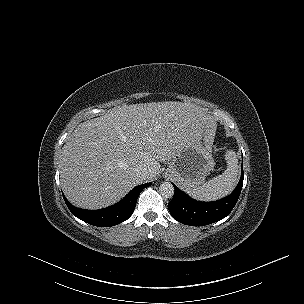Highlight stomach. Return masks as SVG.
<instances>
[{
	"label": "stomach",
	"instance_id": "0dacf381",
	"mask_svg": "<svg viewBox=\"0 0 304 304\" xmlns=\"http://www.w3.org/2000/svg\"><path fill=\"white\" fill-rule=\"evenodd\" d=\"M215 165L210 143H206L202 132L194 136L171 161L166 176L173 178L182 188L201 186Z\"/></svg>",
	"mask_w": 304,
	"mask_h": 304
}]
</instances>
